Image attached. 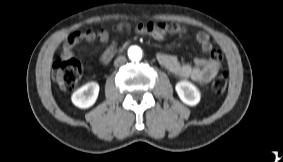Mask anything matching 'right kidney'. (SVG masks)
<instances>
[{"mask_svg":"<svg viewBox=\"0 0 283 162\" xmlns=\"http://www.w3.org/2000/svg\"><path fill=\"white\" fill-rule=\"evenodd\" d=\"M99 93V85L96 82H89L77 89L71 97L73 104L79 108L85 109L91 107Z\"/></svg>","mask_w":283,"mask_h":162,"instance_id":"ca27d5eb","label":"right kidney"}]
</instances>
